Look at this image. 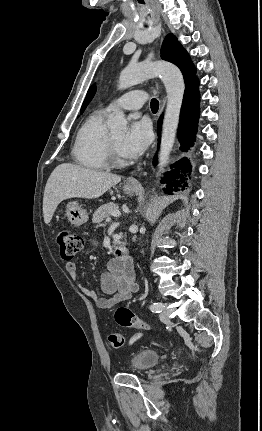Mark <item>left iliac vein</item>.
I'll return each mask as SVG.
<instances>
[{"label": "left iliac vein", "mask_w": 262, "mask_h": 431, "mask_svg": "<svg viewBox=\"0 0 262 431\" xmlns=\"http://www.w3.org/2000/svg\"><path fill=\"white\" fill-rule=\"evenodd\" d=\"M160 319L165 322V323H169L170 322V318H169V310L166 307V305H163V309L160 313Z\"/></svg>", "instance_id": "obj_1"}]
</instances>
